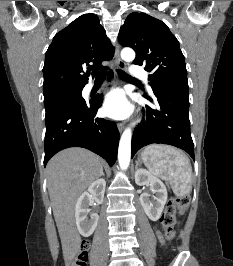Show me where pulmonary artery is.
<instances>
[{
  "instance_id": "e3ab8cb5",
  "label": "pulmonary artery",
  "mask_w": 233,
  "mask_h": 266,
  "mask_svg": "<svg viewBox=\"0 0 233 266\" xmlns=\"http://www.w3.org/2000/svg\"><path fill=\"white\" fill-rule=\"evenodd\" d=\"M131 74L136 77L143 79L144 81L148 82V75L145 71L138 69L137 67L133 66L131 68ZM93 87V84H88L87 89H91Z\"/></svg>"
}]
</instances>
